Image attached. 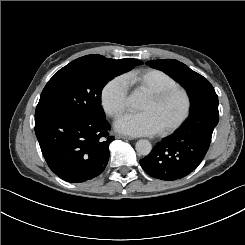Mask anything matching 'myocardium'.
<instances>
[{"label":"myocardium","instance_id":"obj_1","mask_svg":"<svg viewBox=\"0 0 245 245\" xmlns=\"http://www.w3.org/2000/svg\"><path fill=\"white\" fill-rule=\"evenodd\" d=\"M145 94L152 97L157 104H161L174 96H180L183 101V109L179 116L169 124L161 128L162 134H169L176 130L189 116L191 109V98L188 91L180 86L159 88L151 87L145 91Z\"/></svg>","mask_w":245,"mask_h":245}]
</instances>
